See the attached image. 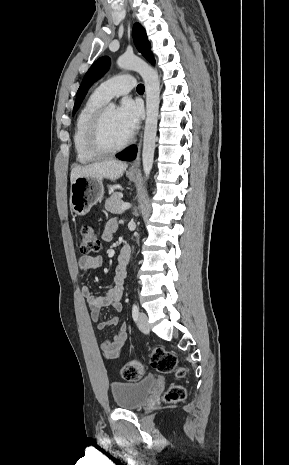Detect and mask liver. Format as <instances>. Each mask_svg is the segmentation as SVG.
<instances>
[{"mask_svg": "<svg viewBox=\"0 0 289 465\" xmlns=\"http://www.w3.org/2000/svg\"><path fill=\"white\" fill-rule=\"evenodd\" d=\"M127 164L117 160H106L85 166H75L71 171V183L78 177L120 178Z\"/></svg>", "mask_w": 289, "mask_h": 465, "instance_id": "liver-1", "label": "liver"}]
</instances>
